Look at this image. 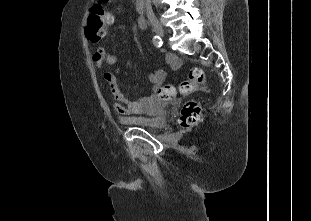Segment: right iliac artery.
Listing matches in <instances>:
<instances>
[{
  "instance_id": "obj_1",
  "label": "right iliac artery",
  "mask_w": 311,
  "mask_h": 221,
  "mask_svg": "<svg viewBox=\"0 0 311 221\" xmlns=\"http://www.w3.org/2000/svg\"><path fill=\"white\" fill-rule=\"evenodd\" d=\"M153 43H154V45L156 46V47H161L162 46V39L160 38V36H158V35H155L154 37H153Z\"/></svg>"
}]
</instances>
